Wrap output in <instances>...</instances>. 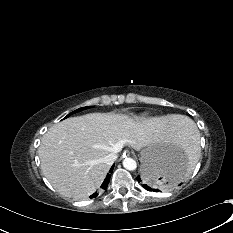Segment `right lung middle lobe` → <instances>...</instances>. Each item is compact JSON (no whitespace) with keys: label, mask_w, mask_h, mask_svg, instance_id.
<instances>
[{"label":"right lung middle lobe","mask_w":233,"mask_h":233,"mask_svg":"<svg viewBox=\"0 0 233 233\" xmlns=\"http://www.w3.org/2000/svg\"><path fill=\"white\" fill-rule=\"evenodd\" d=\"M87 108H89V107H83L82 109H87ZM82 109H77L76 111H74V112L70 113L69 115H67L65 118H67L68 116H70V115H72V114H74V113H76V112H78V111H80Z\"/></svg>","instance_id":"1"}]
</instances>
